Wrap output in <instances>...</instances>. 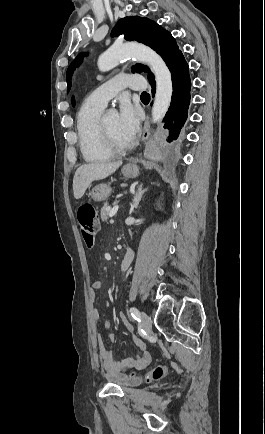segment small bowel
<instances>
[{"instance_id":"small-bowel-1","label":"small bowel","mask_w":265,"mask_h":434,"mask_svg":"<svg viewBox=\"0 0 265 434\" xmlns=\"http://www.w3.org/2000/svg\"><path fill=\"white\" fill-rule=\"evenodd\" d=\"M102 288V284L100 281H94L89 290V296L91 300H95L96 292ZM122 322L124 323L127 331L130 334L131 341L137 348V355L132 358H128L124 360L121 364L115 361V351L113 349H108L105 346L103 337L100 333L97 334L95 339L96 349L98 357L101 361L102 367L107 371L108 381L111 383H119L125 385H135L138 384L141 380L140 378L133 375H126L121 370V365H131L137 368H142L147 365L151 360V352L147 349L146 344L137 338L133 334V327L127 322L126 313H123L122 310L118 311ZM92 319L96 322H100V313L97 309H93L92 311ZM104 327L106 330L109 329L110 324L106 320L104 321ZM108 337L111 341L116 340V336L113 333H109Z\"/></svg>"}]
</instances>
